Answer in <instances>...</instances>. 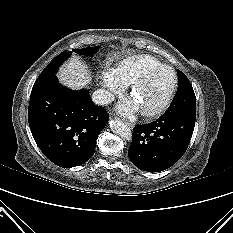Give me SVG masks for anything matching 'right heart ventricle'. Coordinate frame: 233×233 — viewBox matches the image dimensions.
<instances>
[{
  "label": "right heart ventricle",
  "instance_id": "obj_1",
  "mask_svg": "<svg viewBox=\"0 0 233 233\" xmlns=\"http://www.w3.org/2000/svg\"><path fill=\"white\" fill-rule=\"evenodd\" d=\"M161 65L163 64L152 56L137 55L122 60L116 71L122 82L129 85L147 69Z\"/></svg>",
  "mask_w": 233,
  "mask_h": 233
}]
</instances>
